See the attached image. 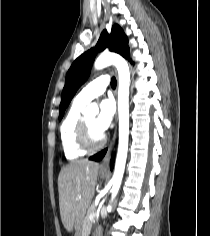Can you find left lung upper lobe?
<instances>
[{"label":"left lung upper lobe","mask_w":210,"mask_h":236,"mask_svg":"<svg viewBox=\"0 0 210 236\" xmlns=\"http://www.w3.org/2000/svg\"><path fill=\"white\" fill-rule=\"evenodd\" d=\"M107 47H109L111 51L117 52L129 60L130 50L128 47V39L123 30L118 25L112 27L110 35L104 30L101 33L95 48H92L79 56L67 72L59 106V120L63 117L65 109L78 88L87 80L97 52L102 51Z\"/></svg>","instance_id":"obj_1"}]
</instances>
